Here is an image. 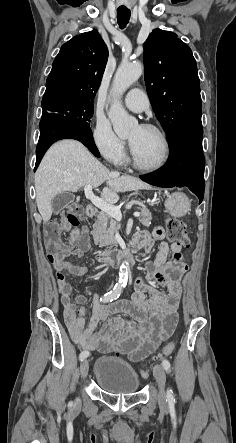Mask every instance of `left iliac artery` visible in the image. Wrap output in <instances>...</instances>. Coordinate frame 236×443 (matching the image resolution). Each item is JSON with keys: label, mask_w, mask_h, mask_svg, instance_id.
Wrapping results in <instances>:
<instances>
[{"label": "left iliac artery", "mask_w": 236, "mask_h": 443, "mask_svg": "<svg viewBox=\"0 0 236 443\" xmlns=\"http://www.w3.org/2000/svg\"><path fill=\"white\" fill-rule=\"evenodd\" d=\"M162 365H163L164 369H165L167 372H170V367H171V365H170V362H169L167 359H164V360L162 361ZM167 400H168L169 403H173V402L175 401V399H174V395H173V391H172L171 388H169V389L167 390ZM167 400H166V401H167Z\"/></svg>", "instance_id": "left-iliac-artery-1"}]
</instances>
